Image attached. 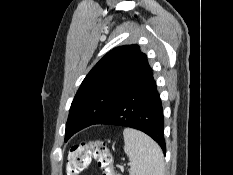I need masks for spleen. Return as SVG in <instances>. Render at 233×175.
<instances>
[{
    "label": "spleen",
    "instance_id": "3e777b00",
    "mask_svg": "<svg viewBox=\"0 0 233 175\" xmlns=\"http://www.w3.org/2000/svg\"><path fill=\"white\" fill-rule=\"evenodd\" d=\"M124 151L130 160V175H164V158L159 145L149 136L125 128Z\"/></svg>",
    "mask_w": 233,
    "mask_h": 175
}]
</instances>
